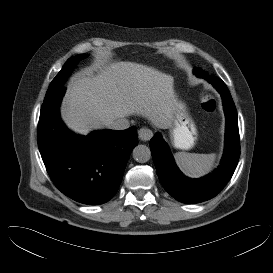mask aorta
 Masks as SVG:
<instances>
[{"mask_svg": "<svg viewBox=\"0 0 273 273\" xmlns=\"http://www.w3.org/2000/svg\"><path fill=\"white\" fill-rule=\"evenodd\" d=\"M132 155L135 161L145 163L150 160L151 151L146 145H138L133 149Z\"/></svg>", "mask_w": 273, "mask_h": 273, "instance_id": "aorta-1", "label": "aorta"}]
</instances>
